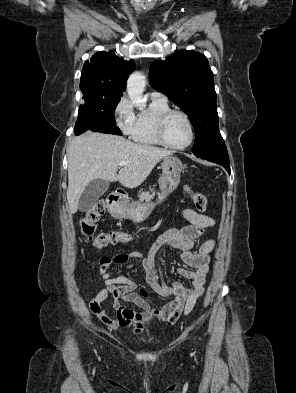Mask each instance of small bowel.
<instances>
[{"label":"small bowel","instance_id":"obj_1","mask_svg":"<svg viewBox=\"0 0 296 393\" xmlns=\"http://www.w3.org/2000/svg\"><path fill=\"white\" fill-rule=\"evenodd\" d=\"M181 216L190 224L182 229H169L162 233L147 255L137 251L122 252L112 257L103 256L99 260V274L104 287L89 302L90 311L109 329L118 331L129 328L135 336L145 334L154 320L167 326L174 325L191 312L198 298L204 293V284L209 272L210 253L215 247L214 240L204 242L197 253L192 251L194 241L205 229L214 225V219L191 208L181 210ZM180 251V258L186 267L178 268L181 276L190 279V285L175 281L167 284L162 279L160 259L167 249ZM139 261L146 272V280L159 296L172 299L161 309H154L149 302L147 290L127 276ZM116 265H124V272L112 277ZM189 268L193 269L190 270ZM110 300L116 317H110L102 308V303ZM133 304L139 312L130 309Z\"/></svg>","mask_w":296,"mask_h":393}]
</instances>
